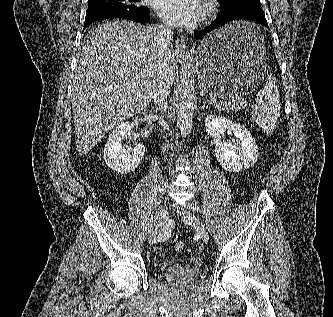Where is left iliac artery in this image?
I'll list each match as a JSON object with an SVG mask.
<instances>
[{
	"label": "left iliac artery",
	"instance_id": "left-iliac-artery-1",
	"mask_svg": "<svg viewBox=\"0 0 333 317\" xmlns=\"http://www.w3.org/2000/svg\"><path fill=\"white\" fill-rule=\"evenodd\" d=\"M194 210H198V207L195 206Z\"/></svg>",
	"mask_w": 333,
	"mask_h": 317
}]
</instances>
